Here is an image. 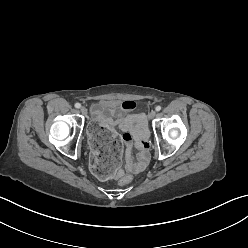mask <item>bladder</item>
<instances>
[{"mask_svg":"<svg viewBox=\"0 0 248 248\" xmlns=\"http://www.w3.org/2000/svg\"><path fill=\"white\" fill-rule=\"evenodd\" d=\"M108 117H109V114L105 111L104 101L103 102H99L97 104V107L94 110V113H93V119H94V121H100V120L103 121V120H105Z\"/></svg>","mask_w":248,"mask_h":248,"instance_id":"obj_1","label":"bladder"}]
</instances>
